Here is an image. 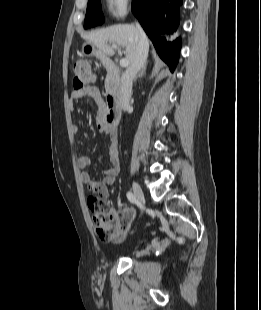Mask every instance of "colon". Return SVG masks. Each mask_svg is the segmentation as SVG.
<instances>
[{
    "label": "colon",
    "mask_w": 261,
    "mask_h": 310,
    "mask_svg": "<svg viewBox=\"0 0 261 310\" xmlns=\"http://www.w3.org/2000/svg\"><path fill=\"white\" fill-rule=\"evenodd\" d=\"M97 76L90 62L77 59L72 65V87L76 92L83 91L95 85ZM88 208L93 215L95 229L99 238L107 242H120L129 229L134 218L133 206L123 208L116 217L108 213L107 203L99 196L87 199Z\"/></svg>",
    "instance_id": "1"
}]
</instances>
